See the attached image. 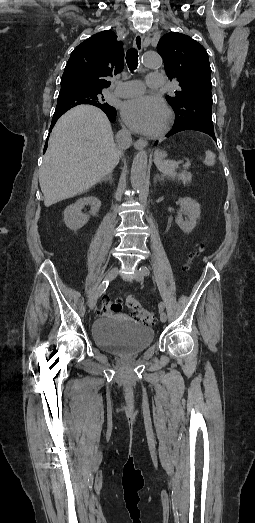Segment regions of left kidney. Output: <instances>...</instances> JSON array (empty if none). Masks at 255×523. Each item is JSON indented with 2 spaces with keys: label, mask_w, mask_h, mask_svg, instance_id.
<instances>
[{
  "label": "left kidney",
  "mask_w": 255,
  "mask_h": 523,
  "mask_svg": "<svg viewBox=\"0 0 255 523\" xmlns=\"http://www.w3.org/2000/svg\"><path fill=\"white\" fill-rule=\"evenodd\" d=\"M178 202L183 212L188 216V220H183L182 216H176L175 222L185 234H189L195 228L198 218H200V206L192 198H180Z\"/></svg>",
  "instance_id": "obj_1"
}]
</instances>
